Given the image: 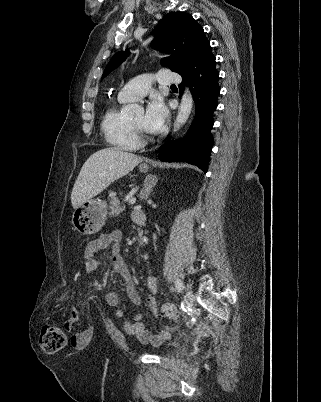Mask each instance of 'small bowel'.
I'll list each match as a JSON object with an SVG mask.
<instances>
[{"label": "small bowel", "instance_id": "c3829d8e", "mask_svg": "<svg viewBox=\"0 0 321 402\" xmlns=\"http://www.w3.org/2000/svg\"><path fill=\"white\" fill-rule=\"evenodd\" d=\"M122 231L114 230L109 233L100 235L97 238L90 240L84 250V271L85 273H91L96 271L101 261L97 257V254L108 246H111V263L113 271L119 274L125 281V290L131 303L135 306L140 305V296L136 289V286L131 278L124 258L120 254V243L122 241ZM146 287L152 296L146 300L147 307L152 316H158V302L153 296L158 291V281L155 275L149 274L146 278ZM106 303L110 307H115V314L121 318L124 316V310L118 308L119 296L116 292L109 291L105 296ZM80 321V314L78 311L73 310L70 316L65 321L64 326L68 331H72L74 326ZM124 329L126 333L137 338L142 343H158L161 339L166 338L168 333L162 331L159 336H154L143 322V315L140 312L135 313L130 319H127L124 323ZM91 335V330L88 327L83 328L81 331L75 332L71 338V344L75 349H81L86 345Z\"/></svg>", "mask_w": 321, "mask_h": 402}]
</instances>
